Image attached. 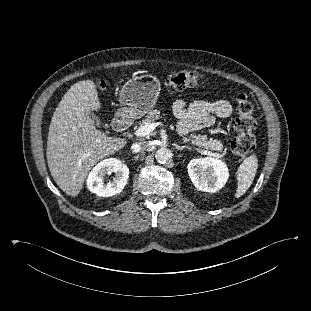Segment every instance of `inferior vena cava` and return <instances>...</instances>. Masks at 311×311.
<instances>
[{
  "label": "inferior vena cava",
  "mask_w": 311,
  "mask_h": 311,
  "mask_svg": "<svg viewBox=\"0 0 311 311\" xmlns=\"http://www.w3.org/2000/svg\"><path fill=\"white\" fill-rule=\"evenodd\" d=\"M149 147L147 142L135 143L131 146V150L133 153H138L146 150Z\"/></svg>",
  "instance_id": "1"
}]
</instances>
